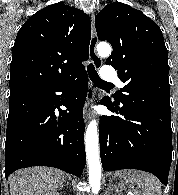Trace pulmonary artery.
Returning <instances> with one entry per match:
<instances>
[{
    "label": "pulmonary artery",
    "instance_id": "e3ab8cb5",
    "mask_svg": "<svg viewBox=\"0 0 178 195\" xmlns=\"http://www.w3.org/2000/svg\"><path fill=\"white\" fill-rule=\"evenodd\" d=\"M101 76L107 84L115 83V84H118L119 86H122V83L117 78V75L113 67L111 66H103L101 68Z\"/></svg>",
    "mask_w": 178,
    "mask_h": 195
}]
</instances>
